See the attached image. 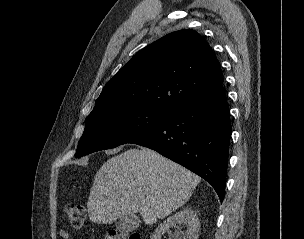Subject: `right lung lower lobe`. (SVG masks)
<instances>
[{"label":"right lung lower lobe","instance_id":"98d812e1","mask_svg":"<svg viewBox=\"0 0 304 239\" xmlns=\"http://www.w3.org/2000/svg\"><path fill=\"white\" fill-rule=\"evenodd\" d=\"M232 128L222 84L130 141L148 147L204 178L224 199Z\"/></svg>","mask_w":304,"mask_h":239}]
</instances>
